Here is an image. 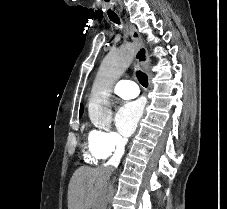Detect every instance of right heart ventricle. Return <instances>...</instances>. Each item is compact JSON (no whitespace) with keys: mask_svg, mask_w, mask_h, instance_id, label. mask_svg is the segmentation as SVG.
Returning <instances> with one entry per match:
<instances>
[{"mask_svg":"<svg viewBox=\"0 0 227 209\" xmlns=\"http://www.w3.org/2000/svg\"><path fill=\"white\" fill-rule=\"evenodd\" d=\"M84 159L88 164L98 165L106 157L95 144L88 140L84 147Z\"/></svg>","mask_w":227,"mask_h":209,"instance_id":"obj_1","label":"right heart ventricle"}]
</instances>
